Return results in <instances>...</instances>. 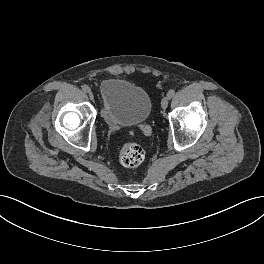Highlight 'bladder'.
Here are the masks:
<instances>
[{
  "instance_id": "bladder-1",
  "label": "bladder",
  "mask_w": 264,
  "mask_h": 264,
  "mask_svg": "<svg viewBox=\"0 0 264 264\" xmlns=\"http://www.w3.org/2000/svg\"><path fill=\"white\" fill-rule=\"evenodd\" d=\"M101 117L108 127L139 125L150 115L148 92L127 80L109 78L99 88Z\"/></svg>"
}]
</instances>
